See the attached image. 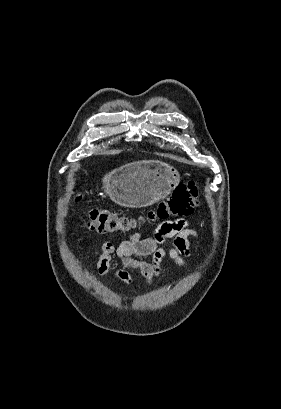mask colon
<instances>
[{
  "instance_id": "5ec220e1",
  "label": "colon",
  "mask_w": 281,
  "mask_h": 409,
  "mask_svg": "<svg viewBox=\"0 0 281 409\" xmlns=\"http://www.w3.org/2000/svg\"><path fill=\"white\" fill-rule=\"evenodd\" d=\"M198 187L194 184H180L173 193L161 201L147 214L148 222L188 216L198 206ZM75 202L80 206L82 219L100 234L129 233L141 227V221L112 210L89 208L82 203L83 194L77 193Z\"/></svg>"
}]
</instances>
